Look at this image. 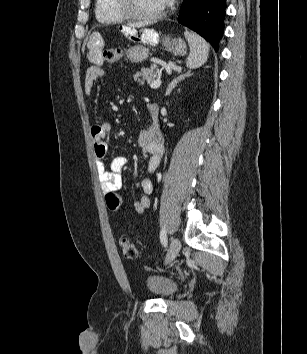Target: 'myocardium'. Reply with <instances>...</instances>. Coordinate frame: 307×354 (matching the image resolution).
Here are the masks:
<instances>
[{"label":"myocardium","instance_id":"obj_1","mask_svg":"<svg viewBox=\"0 0 307 354\" xmlns=\"http://www.w3.org/2000/svg\"><path fill=\"white\" fill-rule=\"evenodd\" d=\"M115 10L121 14L125 19L154 21L160 19L165 13L164 7L153 14H141L136 12L131 6V0H113Z\"/></svg>","mask_w":307,"mask_h":354}]
</instances>
